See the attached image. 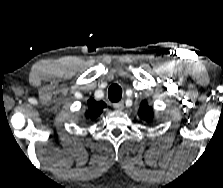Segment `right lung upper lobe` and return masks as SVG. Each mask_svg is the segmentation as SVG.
<instances>
[{"mask_svg": "<svg viewBox=\"0 0 223 188\" xmlns=\"http://www.w3.org/2000/svg\"><path fill=\"white\" fill-rule=\"evenodd\" d=\"M106 107V104L102 101H95L93 98L88 100V110L86 112V117L91 120H95Z\"/></svg>", "mask_w": 223, "mask_h": 188, "instance_id": "obj_1", "label": "right lung upper lobe"}]
</instances>
